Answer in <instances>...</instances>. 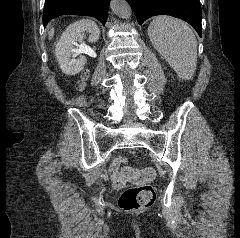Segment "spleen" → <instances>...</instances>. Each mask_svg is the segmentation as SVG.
<instances>
[{
  "label": "spleen",
  "mask_w": 240,
  "mask_h": 238,
  "mask_svg": "<svg viewBox=\"0 0 240 238\" xmlns=\"http://www.w3.org/2000/svg\"><path fill=\"white\" fill-rule=\"evenodd\" d=\"M148 36L177 75L191 79L197 65V40L190 27L179 19L158 16L150 23Z\"/></svg>",
  "instance_id": "obj_1"
}]
</instances>
